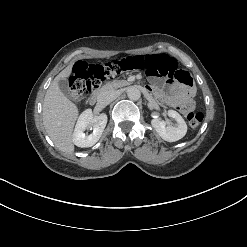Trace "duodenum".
<instances>
[{"label":"duodenum","mask_w":247,"mask_h":247,"mask_svg":"<svg viewBox=\"0 0 247 247\" xmlns=\"http://www.w3.org/2000/svg\"><path fill=\"white\" fill-rule=\"evenodd\" d=\"M102 97V91L101 90H95L89 98V102L91 105H96L101 102Z\"/></svg>","instance_id":"duodenum-1"}]
</instances>
